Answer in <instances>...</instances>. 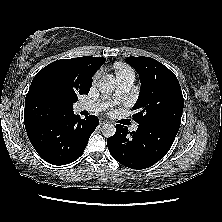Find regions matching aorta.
I'll list each match as a JSON object with an SVG mask.
<instances>
[{"label":"aorta","mask_w":222,"mask_h":222,"mask_svg":"<svg viewBox=\"0 0 222 222\" xmlns=\"http://www.w3.org/2000/svg\"><path fill=\"white\" fill-rule=\"evenodd\" d=\"M97 88L101 93H111L115 89L114 78L111 75H107L97 84ZM116 132V128L112 123H106L102 126V134L109 138Z\"/></svg>","instance_id":"aorta-1"}]
</instances>
